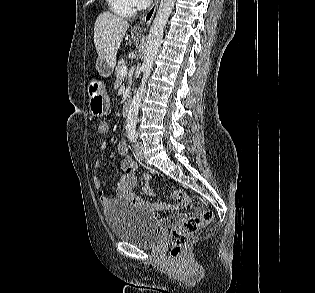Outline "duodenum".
Masks as SVG:
<instances>
[{"label": "duodenum", "instance_id": "410a0bca", "mask_svg": "<svg viewBox=\"0 0 315 293\" xmlns=\"http://www.w3.org/2000/svg\"><path fill=\"white\" fill-rule=\"evenodd\" d=\"M130 105H131V100L130 99H126L122 105V114L124 116H127L130 110Z\"/></svg>", "mask_w": 315, "mask_h": 293}]
</instances>
